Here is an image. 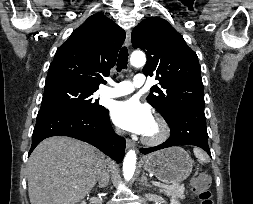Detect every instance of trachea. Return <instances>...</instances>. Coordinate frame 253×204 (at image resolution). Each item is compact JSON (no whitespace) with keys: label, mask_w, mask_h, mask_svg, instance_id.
<instances>
[{"label":"trachea","mask_w":253,"mask_h":204,"mask_svg":"<svg viewBox=\"0 0 253 204\" xmlns=\"http://www.w3.org/2000/svg\"><path fill=\"white\" fill-rule=\"evenodd\" d=\"M127 62H128V49L126 47H123L118 55L117 71L120 72L122 69H126Z\"/></svg>","instance_id":"3493384b"}]
</instances>
